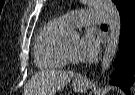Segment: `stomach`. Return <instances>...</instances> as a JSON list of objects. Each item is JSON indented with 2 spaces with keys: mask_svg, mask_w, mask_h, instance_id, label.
I'll list each match as a JSON object with an SVG mask.
<instances>
[{
  "mask_svg": "<svg viewBox=\"0 0 135 95\" xmlns=\"http://www.w3.org/2000/svg\"><path fill=\"white\" fill-rule=\"evenodd\" d=\"M72 87L76 92H84L87 89V84L81 83L78 80H74L72 83Z\"/></svg>",
  "mask_w": 135,
  "mask_h": 95,
  "instance_id": "obj_1",
  "label": "stomach"
}]
</instances>
